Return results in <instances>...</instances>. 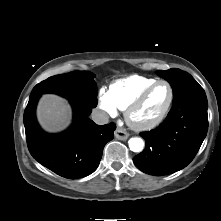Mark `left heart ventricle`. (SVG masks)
Masks as SVG:
<instances>
[{"label": "left heart ventricle", "instance_id": "left-heart-ventricle-1", "mask_svg": "<svg viewBox=\"0 0 221 221\" xmlns=\"http://www.w3.org/2000/svg\"><path fill=\"white\" fill-rule=\"evenodd\" d=\"M169 99V88L165 84L158 85L138 110L136 117L140 121L157 118L165 108Z\"/></svg>", "mask_w": 221, "mask_h": 221}]
</instances>
